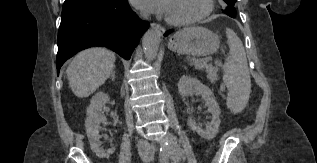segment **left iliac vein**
<instances>
[{"mask_svg": "<svg viewBox=\"0 0 317 163\" xmlns=\"http://www.w3.org/2000/svg\"><path fill=\"white\" fill-rule=\"evenodd\" d=\"M172 159L173 160H178V157L175 154H172Z\"/></svg>", "mask_w": 317, "mask_h": 163, "instance_id": "1", "label": "left iliac vein"}]
</instances>
